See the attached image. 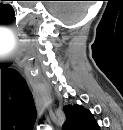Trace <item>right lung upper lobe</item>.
<instances>
[{"label":"right lung upper lobe","instance_id":"1","mask_svg":"<svg viewBox=\"0 0 123 130\" xmlns=\"http://www.w3.org/2000/svg\"><path fill=\"white\" fill-rule=\"evenodd\" d=\"M66 122L63 130H98L99 126L94 120L92 113L77 104H70L63 108Z\"/></svg>","mask_w":123,"mask_h":130}]
</instances>
